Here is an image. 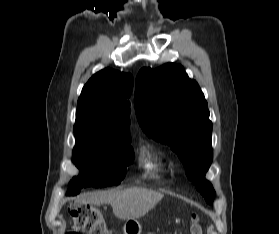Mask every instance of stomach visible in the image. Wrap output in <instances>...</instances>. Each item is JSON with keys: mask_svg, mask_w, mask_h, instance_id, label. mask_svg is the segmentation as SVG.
Returning <instances> with one entry per match:
<instances>
[{"mask_svg": "<svg viewBox=\"0 0 279 234\" xmlns=\"http://www.w3.org/2000/svg\"><path fill=\"white\" fill-rule=\"evenodd\" d=\"M141 225L136 219L127 220L123 231L124 234H141Z\"/></svg>", "mask_w": 279, "mask_h": 234, "instance_id": "stomach-1", "label": "stomach"}]
</instances>
